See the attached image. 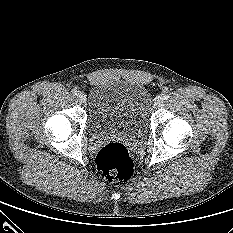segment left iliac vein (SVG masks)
Here are the masks:
<instances>
[{
    "label": "left iliac vein",
    "mask_w": 233,
    "mask_h": 233,
    "mask_svg": "<svg viewBox=\"0 0 233 233\" xmlns=\"http://www.w3.org/2000/svg\"><path fill=\"white\" fill-rule=\"evenodd\" d=\"M164 102V99L162 96H157L154 100V106L155 107H161Z\"/></svg>",
    "instance_id": "left-iliac-vein-1"
}]
</instances>
